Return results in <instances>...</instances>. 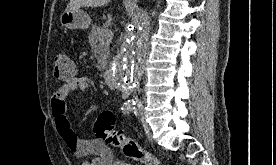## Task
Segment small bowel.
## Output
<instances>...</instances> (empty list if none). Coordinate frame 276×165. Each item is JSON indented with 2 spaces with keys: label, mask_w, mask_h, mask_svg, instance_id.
I'll use <instances>...</instances> for the list:
<instances>
[{
  "label": "small bowel",
  "mask_w": 276,
  "mask_h": 165,
  "mask_svg": "<svg viewBox=\"0 0 276 165\" xmlns=\"http://www.w3.org/2000/svg\"><path fill=\"white\" fill-rule=\"evenodd\" d=\"M94 83L87 77H73L53 88L51 110L57 131L69 150L77 157L84 158L81 165H114V154L100 139H79L67 117L66 99L71 92L88 91Z\"/></svg>",
  "instance_id": "obj_1"
}]
</instances>
